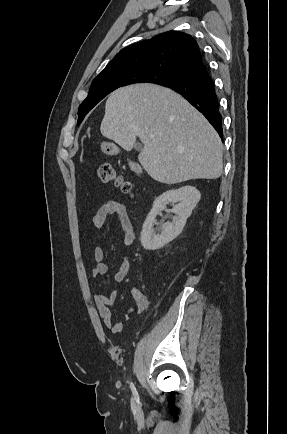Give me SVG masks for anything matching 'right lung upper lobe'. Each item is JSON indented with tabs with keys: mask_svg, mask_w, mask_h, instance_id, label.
<instances>
[{
	"mask_svg": "<svg viewBox=\"0 0 287 434\" xmlns=\"http://www.w3.org/2000/svg\"><path fill=\"white\" fill-rule=\"evenodd\" d=\"M202 63L199 46L192 36L169 31L122 49L94 80L149 70L182 75Z\"/></svg>",
	"mask_w": 287,
	"mask_h": 434,
	"instance_id": "right-lung-upper-lobe-1",
	"label": "right lung upper lobe"
}]
</instances>
